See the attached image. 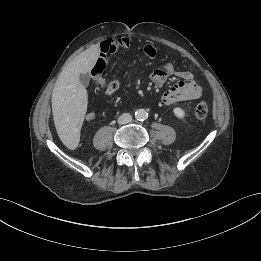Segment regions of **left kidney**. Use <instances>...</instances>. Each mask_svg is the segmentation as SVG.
Returning a JSON list of instances; mask_svg holds the SVG:
<instances>
[{"label": "left kidney", "mask_w": 261, "mask_h": 261, "mask_svg": "<svg viewBox=\"0 0 261 261\" xmlns=\"http://www.w3.org/2000/svg\"><path fill=\"white\" fill-rule=\"evenodd\" d=\"M174 115L180 119L185 117V111L180 107H175L173 109Z\"/></svg>", "instance_id": "1"}]
</instances>
